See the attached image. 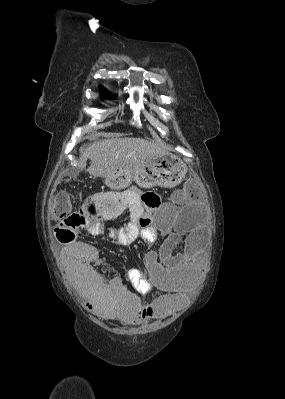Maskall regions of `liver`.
<instances>
[{
    "instance_id": "liver-1",
    "label": "liver",
    "mask_w": 285,
    "mask_h": 399,
    "mask_svg": "<svg viewBox=\"0 0 285 399\" xmlns=\"http://www.w3.org/2000/svg\"><path fill=\"white\" fill-rule=\"evenodd\" d=\"M165 153L160 145L141 138H111L97 141L81 150L78 166L86 168L95 177H106L135 166Z\"/></svg>"
}]
</instances>
